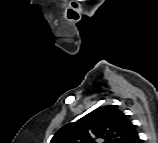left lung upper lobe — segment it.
I'll list each match as a JSON object with an SVG mask.
<instances>
[{"mask_svg":"<svg viewBox=\"0 0 158 143\" xmlns=\"http://www.w3.org/2000/svg\"><path fill=\"white\" fill-rule=\"evenodd\" d=\"M138 143L134 125L117 106H101L74 123L59 129L51 143Z\"/></svg>","mask_w":158,"mask_h":143,"instance_id":"1","label":"left lung upper lobe"}]
</instances>
